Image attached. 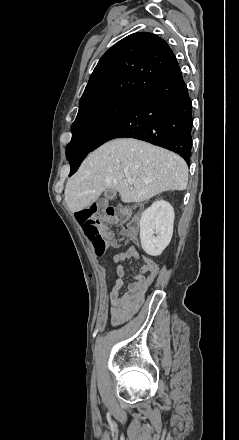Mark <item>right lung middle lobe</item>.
I'll list each match as a JSON object with an SVG mask.
<instances>
[{
	"label": "right lung middle lobe",
	"mask_w": 239,
	"mask_h": 440,
	"mask_svg": "<svg viewBox=\"0 0 239 440\" xmlns=\"http://www.w3.org/2000/svg\"><path fill=\"white\" fill-rule=\"evenodd\" d=\"M134 99L116 96L79 111L72 124L73 136L67 150L85 152L91 149L97 138L123 114Z\"/></svg>",
	"instance_id": "right-lung-middle-lobe-1"
}]
</instances>
